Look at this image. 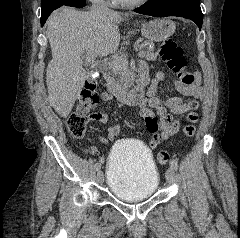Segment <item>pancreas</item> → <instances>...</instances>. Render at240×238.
Segmentation results:
<instances>
[{"instance_id": "cf45deb5", "label": "pancreas", "mask_w": 240, "mask_h": 238, "mask_svg": "<svg viewBox=\"0 0 240 238\" xmlns=\"http://www.w3.org/2000/svg\"><path fill=\"white\" fill-rule=\"evenodd\" d=\"M143 58L147 61H156L158 53L153 46L147 47L146 50L143 51ZM115 59H118L120 63L113 67H109L111 73L104 74V77L110 84H126L127 79L130 76L127 58L123 53H120Z\"/></svg>"}]
</instances>
